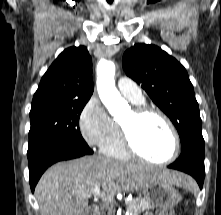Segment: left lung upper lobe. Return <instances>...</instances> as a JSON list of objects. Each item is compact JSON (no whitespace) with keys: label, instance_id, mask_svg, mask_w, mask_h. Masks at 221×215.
Listing matches in <instances>:
<instances>
[{"label":"left lung upper lobe","instance_id":"left-lung-upper-lobe-1","mask_svg":"<svg viewBox=\"0 0 221 215\" xmlns=\"http://www.w3.org/2000/svg\"><path fill=\"white\" fill-rule=\"evenodd\" d=\"M123 69L171 119L180 136L181 152L205 147L193 85L184 66L158 46L138 43L123 56Z\"/></svg>","mask_w":221,"mask_h":215}]
</instances>
